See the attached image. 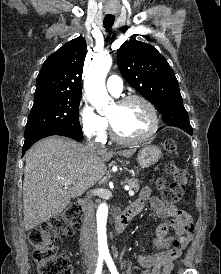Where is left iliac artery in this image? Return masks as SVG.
<instances>
[{
    "instance_id": "left-iliac-artery-1",
    "label": "left iliac artery",
    "mask_w": 221,
    "mask_h": 274,
    "mask_svg": "<svg viewBox=\"0 0 221 274\" xmlns=\"http://www.w3.org/2000/svg\"><path fill=\"white\" fill-rule=\"evenodd\" d=\"M104 258H105L106 264H107L111 274H119L111 256L109 254H107V255H105Z\"/></svg>"
}]
</instances>
